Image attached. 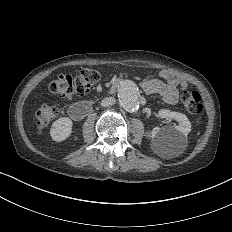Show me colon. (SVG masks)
<instances>
[{
	"mask_svg": "<svg viewBox=\"0 0 232 232\" xmlns=\"http://www.w3.org/2000/svg\"><path fill=\"white\" fill-rule=\"evenodd\" d=\"M79 74H56V79L49 84L51 93H63L70 95L77 92L84 94L93 88V83L99 79V73L92 68H78ZM199 91L195 87H189L182 94V102H178V107H184L191 117L199 118L203 114V106H201ZM37 127L41 131H49L51 125V117H58L60 108L55 106H39L36 108Z\"/></svg>",
	"mask_w": 232,
	"mask_h": 232,
	"instance_id": "1",
	"label": "colon"
}]
</instances>
